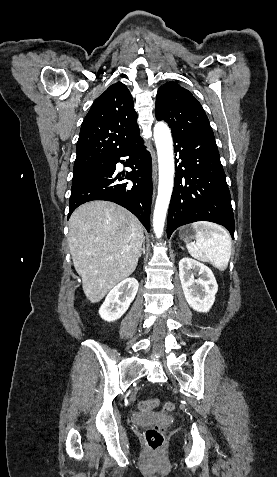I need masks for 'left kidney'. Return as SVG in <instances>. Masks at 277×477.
<instances>
[{
  "instance_id": "left-kidney-1",
  "label": "left kidney",
  "mask_w": 277,
  "mask_h": 477,
  "mask_svg": "<svg viewBox=\"0 0 277 477\" xmlns=\"http://www.w3.org/2000/svg\"><path fill=\"white\" fill-rule=\"evenodd\" d=\"M196 275H199L198 279H194ZM179 277L189 306L197 312L207 313L218 291L213 272L204 264L185 257L179 262Z\"/></svg>"
}]
</instances>
